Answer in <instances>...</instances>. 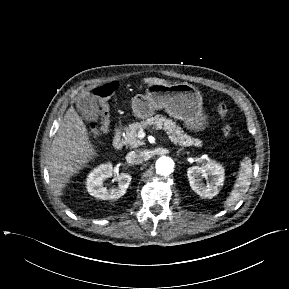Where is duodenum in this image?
Returning a JSON list of instances; mask_svg holds the SVG:
<instances>
[{
  "instance_id": "1",
  "label": "duodenum",
  "mask_w": 289,
  "mask_h": 289,
  "mask_svg": "<svg viewBox=\"0 0 289 289\" xmlns=\"http://www.w3.org/2000/svg\"><path fill=\"white\" fill-rule=\"evenodd\" d=\"M113 146L116 150H120L124 146V140H123L121 128H118L115 131V135H114V139H113Z\"/></svg>"
}]
</instances>
